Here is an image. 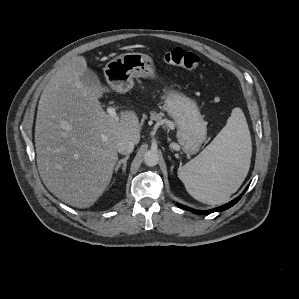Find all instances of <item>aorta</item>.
Returning <instances> with one entry per match:
<instances>
[{
	"label": "aorta",
	"mask_w": 299,
	"mask_h": 299,
	"mask_svg": "<svg viewBox=\"0 0 299 299\" xmlns=\"http://www.w3.org/2000/svg\"><path fill=\"white\" fill-rule=\"evenodd\" d=\"M144 162L148 166H155V165H157L158 162H159V154L157 153V151L148 150L144 154Z\"/></svg>",
	"instance_id": "1"
}]
</instances>
